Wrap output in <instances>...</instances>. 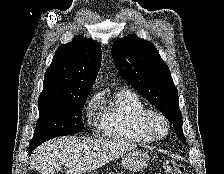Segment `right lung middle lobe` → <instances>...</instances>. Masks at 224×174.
<instances>
[{
    "label": "right lung middle lobe",
    "instance_id": "obj_1",
    "mask_svg": "<svg viewBox=\"0 0 224 174\" xmlns=\"http://www.w3.org/2000/svg\"><path fill=\"white\" fill-rule=\"evenodd\" d=\"M87 95L69 99H39V119L30 147L83 130L82 108Z\"/></svg>",
    "mask_w": 224,
    "mask_h": 174
}]
</instances>
